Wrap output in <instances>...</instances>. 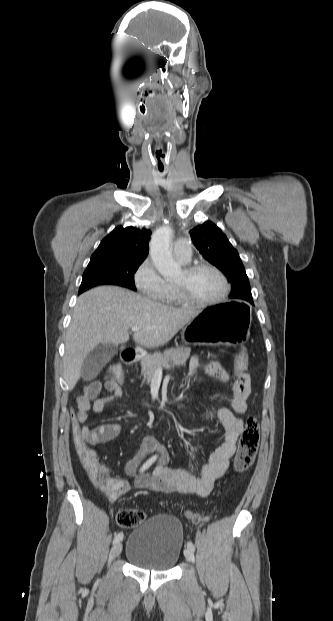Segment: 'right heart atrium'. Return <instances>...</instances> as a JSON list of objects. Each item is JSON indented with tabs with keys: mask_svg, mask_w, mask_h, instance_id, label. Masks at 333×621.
I'll return each instance as SVG.
<instances>
[{
	"mask_svg": "<svg viewBox=\"0 0 333 621\" xmlns=\"http://www.w3.org/2000/svg\"><path fill=\"white\" fill-rule=\"evenodd\" d=\"M137 289L150 299L159 300L166 288L165 280L159 275L150 259L144 260L134 275Z\"/></svg>",
	"mask_w": 333,
	"mask_h": 621,
	"instance_id": "d8ad5b80",
	"label": "right heart atrium"
}]
</instances>
